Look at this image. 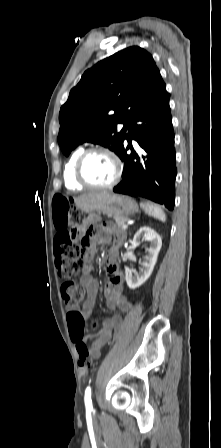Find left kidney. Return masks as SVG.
I'll list each match as a JSON object with an SVG mask.
<instances>
[{
	"mask_svg": "<svg viewBox=\"0 0 221 448\" xmlns=\"http://www.w3.org/2000/svg\"><path fill=\"white\" fill-rule=\"evenodd\" d=\"M140 239L148 240L150 242V247L147 249L145 260L141 263L139 273L137 272L135 275H132L129 270H126L125 272L126 283L130 289L138 288L150 277L156 264L158 253L162 246V239L160 235L147 226L141 227L135 233L133 245H138Z\"/></svg>",
	"mask_w": 221,
	"mask_h": 448,
	"instance_id": "1",
	"label": "left kidney"
}]
</instances>
